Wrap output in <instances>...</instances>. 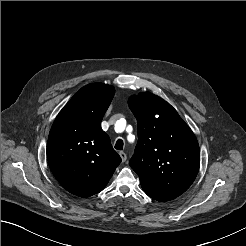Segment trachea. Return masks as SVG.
<instances>
[{"label": "trachea", "mask_w": 246, "mask_h": 246, "mask_svg": "<svg viewBox=\"0 0 246 246\" xmlns=\"http://www.w3.org/2000/svg\"><path fill=\"white\" fill-rule=\"evenodd\" d=\"M123 145H124L123 140L118 139L116 144H115V149L122 150L123 149Z\"/></svg>", "instance_id": "trachea-1"}]
</instances>
